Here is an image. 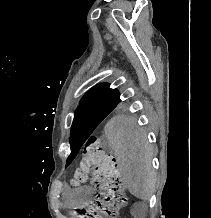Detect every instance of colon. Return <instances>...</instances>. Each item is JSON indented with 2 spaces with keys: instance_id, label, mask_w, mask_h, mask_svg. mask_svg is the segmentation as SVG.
<instances>
[{
  "instance_id": "5ec220e1",
  "label": "colon",
  "mask_w": 211,
  "mask_h": 218,
  "mask_svg": "<svg viewBox=\"0 0 211 218\" xmlns=\"http://www.w3.org/2000/svg\"><path fill=\"white\" fill-rule=\"evenodd\" d=\"M90 180L97 193L87 209L77 211L82 218H116L126 206L127 196L116 159L107 153L99 139H87L73 183L79 185Z\"/></svg>"
}]
</instances>
